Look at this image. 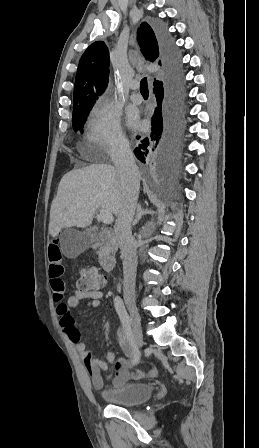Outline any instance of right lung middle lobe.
<instances>
[{"mask_svg": "<svg viewBox=\"0 0 259 448\" xmlns=\"http://www.w3.org/2000/svg\"><path fill=\"white\" fill-rule=\"evenodd\" d=\"M91 108L92 107L73 110L72 125H73V129L75 131L79 130V131H81V133L83 132L82 127L87 119V116H88Z\"/></svg>", "mask_w": 259, "mask_h": 448, "instance_id": "obj_1", "label": "right lung middle lobe"}]
</instances>
